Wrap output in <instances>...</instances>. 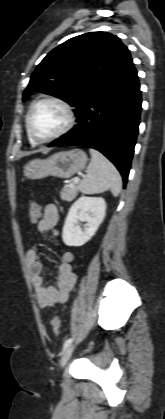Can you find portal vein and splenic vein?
Instances as JSON below:
<instances>
[{
    "mask_svg": "<svg viewBox=\"0 0 165 419\" xmlns=\"http://www.w3.org/2000/svg\"><path fill=\"white\" fill-rule=\"evenodd\" d=\"M80 181V179L79 178H75L74 180H73V183H78ZM73 183H71V184H73Z\"/></svg>",
    "mask_w": 165,
    "mask_h": 419,
    "instance_id": "obj_1",
    "label": "portal vein and splenic vein"
}]
</instances>
